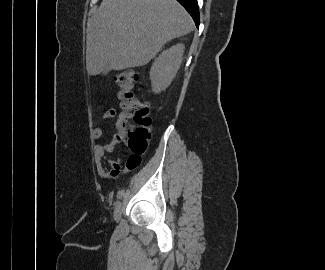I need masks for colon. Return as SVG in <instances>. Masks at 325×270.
<instances>
[{
  "label": "colon",
  "mask_w": 325,
  "mask_h": 270,
  "mask_svg": "<svg viewBox=\"0 0 325 270\" xmlns=\"http://www.w3.org/2000/svg\"><path fill=\"white\" fill-rule=\"evenodd\" d=\"M115 81L120 88L119 98L122 108L116 139L129 148L130 156L126 166L128 169H134L141 163L150 139L149 108L135 93L138 81L135 69L122 71L115 77Z\"/></svg>",
  "instance_id": "obj_1"
}]
</instances>
